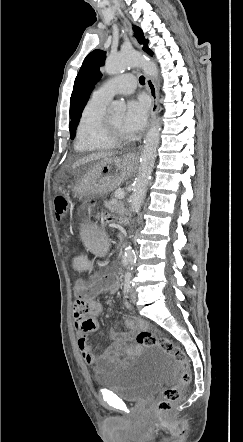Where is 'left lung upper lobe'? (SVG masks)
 Here are the masks:
<instances>
[{"label": "left lung upper lobe", "instance_id": "left-lung-upper-lobe-1", "mask_svg": "<svg viewBox=\"0 0 243 442\" xmlns=\"http://www.w3.org/2000/svg\"><path fill=\"white\" fill-rule=\"evenodd\" d=\"M133 30L138 42L144 45V51L150 54L152 51L148 48V40L144 38L142 30L138 27H134ZM105 59V51L98 49L92 51L84 59L80 71L75 79L70 100V116L72 122L70 123L69 129L71 139H73L76 135V127L80 121L82 111L89 99L94 85L101 77L99 68L104 64Z\"/></svg>", "mask_w": 243, "mask_h": 442}]
</instances>
